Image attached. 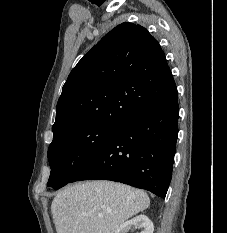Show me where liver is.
<instances>
[{
    "mask_svg": "<svg viewBox=\"0 0 227 233\" xmlns=\"http://www.w3.org/2000/svg\"><path fill=\"white\" fill-rule=\"evenodd\" d=\"M149 204L142 190L111 181H88L59 192L51 211L57 233H114Z\"/></svg>",
    "mask_w": 227,
    "mask_h": 233,
    "instance_id": "6515ba94",
    "label": "liver"
}]
</instances>
